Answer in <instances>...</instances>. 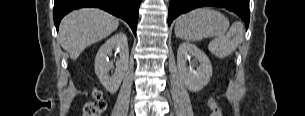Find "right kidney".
<instances>
[{"mask_svg":"<svg viewBox=\"0 0 305 116\" xmlns=\"http://www.w3.org/2000/svg\"><path fill=\"white\" fill-rule=\"evenodd\" d=\"M113 50H117L120 57L116 62L114 74L110 77L108 72L113 68V65L108 56L112 55ZM128 60L127 36L123 32L113 35L98 50L95 58V73L108 92L115 93L118 90L127 70Z\"/></svg>","mask_w":305,"mask_h":116,"instance_id":"obj_1","label":"right kidney"}]
</instances>
